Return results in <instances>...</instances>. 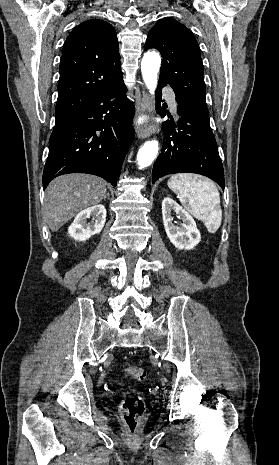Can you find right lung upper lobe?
Here are the masks:
<instances>
[{
    "instance_id": "cb5924a9",
    "label": "right lung upper lobe",
    "mask_w": 279,
    "mask_h": 465,
    "mask_svg": "<svg viewBox=\"0 0 279 465\" xmlns=\"http://www.w3.org/2000/svg\"><path fill=\"white\" fill-rule=\"evenodd\" d=\"M121 80L118 39L113 26L99 19L76 26L62 51L55 125Z\"/></svg>"
}]
</instances>
